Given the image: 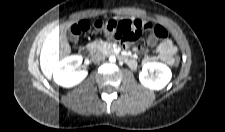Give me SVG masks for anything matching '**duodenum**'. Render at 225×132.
Returning a JSON list of instances; mask_svg holds the SVG:
<instances>
[{
  "mask_svg": "<svg viewBox=\"0 0 225 132\" xmlns=\"http://www.w3.org/2000/svg\"><path fill=\"white\" fill-rule=\"evenodd\" d=\"M110 53L111 54H115V55H117L120 59H122V60H125V59H127L126 58V56L123 54V53H121L119 50H117V49H111L110 50Z\"/></svg>",
  "mask_w": 225,
  "mask_h": 132,
  "instance_id": "obj_1",
  "label": "duodenum"
}]
</instances>
